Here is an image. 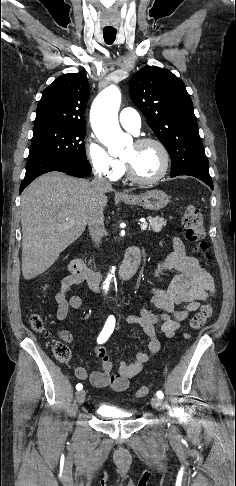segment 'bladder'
Here are the masks:
<instances>
[{
    "mask_svg": "<svg viewBox=\"0 0 236 486\" xmlns=\"http://www.w3.org/2000/svg\"><path fill=\"white\" fill-rule=\"evenodd\" d=\"M97 413L103 417L113 419L128 420L132 418V413L119 409L109 404H100L97 407Z\"/></svg>",
    "mask_w": 236,
    "mask_h": 486,
    "instance_id": "bladder-1",
    "label": "bladder"
}]
</instances>
